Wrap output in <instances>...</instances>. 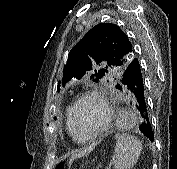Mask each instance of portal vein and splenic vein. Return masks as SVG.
Returning a JSON list of instances; mask_svg holds the SVG:
<instances>
[{
	"instance_id": "portal-vein-and-splenic-vein-1",
	"label": "portal vein and splenic vein",
	"mask_w": 177,
	"mask_h": 169,
	"mask_svg": "<svg viewBox=\"0 0 177 169\" xmlns=\"http://www.w3.org/2000/svg\"><path fill=\"white\" fill-rule=\"evenodd\" d=\"M105 169H110V164Z\"/></svg>"
}]
</instances>
